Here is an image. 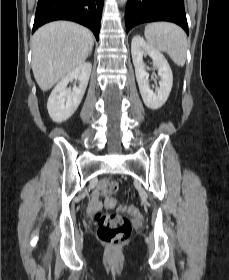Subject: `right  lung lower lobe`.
Wrapping results in <instances>:
<instances>
[{
	"label": "right lung lower lobe",
	"instance_id": "obj_1",
	"mask_svg": "<svg viewBox=\"0 0 229 280\" xmlns=\"http://www.w3.org/2000/svg\"><path fill=\"white\" fill-rule=\"evenodd\" d=\"M104 0H38L34 32L54 20H71L91 29L99 39L100 20Z\"/></svg>",
	"mask_w": 229,
	"mask_h": 280
}]
</instances>
